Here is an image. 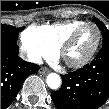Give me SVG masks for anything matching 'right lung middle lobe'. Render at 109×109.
Returning a JSON list of instances; mask_svg holds the SVG:
<instances>
[{"mask_svg":"<svg viewBox=\"0 0 109 109\" xmlns=\"http://www.w3.org/2000/svg\"><path fill=\"white\" fill-rule=\"evenodd\" d=\"M24 27L16 28L13 26L1 24V39L12 44L17 45L18 33L21 32Z\"/></svg>","mask_w":109,"mask_h":109,"instance_id":"1","label":"right lung middle lobe"}]
</instances>
